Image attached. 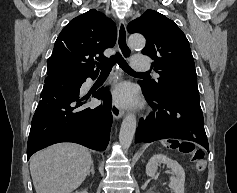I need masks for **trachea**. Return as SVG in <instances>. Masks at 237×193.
<instances>
[{
  "label": "trachea",
  "instance_id": "1",
  "mask_svg": "<svg viewBox=\"0 0 237 193\" xmlns=\"http://www.w3.org/2000/svg\"><path fill=\"white\" fill-rule=\"evenodd\" d=\"M118 63L119 66L128 74H138V75H145L149 76V73H138L135 72L128 63L124 60L120 53H116L115 55L111 56L109 61L103 64H97V67L101 69V74H109L113 65Z\"/></svg>",
  "mask_w": 237,
  "mask_h": 193
}]
</instances>
